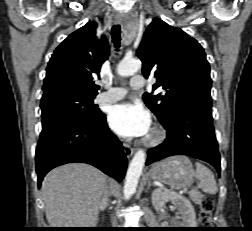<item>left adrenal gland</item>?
<instances>
[{
    "mask_svg": "<svg viewBox=\"0 0 252 231\" xmlns=\"http://www.w3.org/2000/svg\"><path fill=\"white\" fill-rule=\"evenodd\" d=\"M151 186H152V183H151V181H150V180H148L147 190H149Z\"/></svg>",
    "mask_w": 252,
    "mask_h": 231,
    "instance_id": "left-adrenal-gland-1",
    "label": "left adrenal gland"
}]
</instances>
